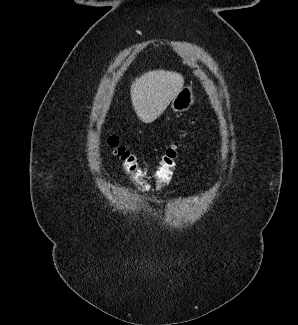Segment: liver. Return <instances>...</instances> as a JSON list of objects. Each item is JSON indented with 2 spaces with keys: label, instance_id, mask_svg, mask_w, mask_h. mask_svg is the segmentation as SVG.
Listing matches in <instances>:
<instances>
[{
  "label": "liver",
  "instance_id": "6515ba94",
  "mask_svg": "<svg viewBox=\"0 0 298 325\" xmlns=\"http://www.w3.org/2000/svg\"><path fill=\"white\" fill-rule=\"evenodd\" d=\"M184 82L182 72L165 68L148 70L136 76L130 86V98L139 120L153 122L161 116Z\"/></svg>",
  "mask_w": 298,
  "mask_h": 325
}]
</instances>
